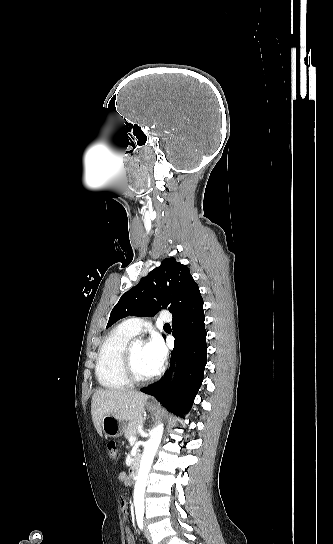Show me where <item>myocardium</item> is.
<instances>
[{
    "mask_svg": "<svg viewBox=\"0 0 333 544\" xmlns=\"http://www.w3.org/2000/svg\"><path fill=\"white\" fill-rule=\"evenodd\" d=\"M132 345L133 343H128L123 354V371L126 378L131 384L137 385H143L153 381L157 376L156 372L148 377H140L136 373L133 365Z\"/></svg>",
    "mask_w": 333,
    "mask_h": 544,
    "instance_id": "1",
    "label": "myocardium"
}]
</instances>
